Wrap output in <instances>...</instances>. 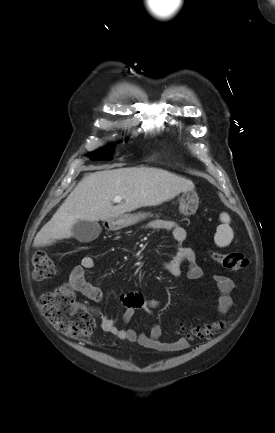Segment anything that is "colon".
Returning <instances> with one entry per match:
<instances>
[{
    "instance_id": "1",
    "label": "colon",
    "mask_w": 275,
    "mask_h": 433,
    "mask_svg": "<svg viewBox=\"0 0 275 433\" xmlns=\"http://www.w3.org/2000/svg\"><path fill=\"white\" fill-rule=\"evenodd\" d=\"M212 258L226 269L238 271L248 264L246 257L240 252L212 253ZM33 276L44 280L55 276L58 268L44 252H37L33 259ZM40 304L45 317L60 332L75 338L89 336L95 327L90 312L75 300L74 291L69 285L59 286L52 292L45 293ZM226 327V322L218 320L190 329V338L209 339Z\"/></svg>"
}]
</instances>
